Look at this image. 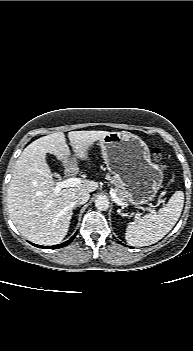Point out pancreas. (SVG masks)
<instances>
[{"instance_id": "obj_1", "label": "pancreas", "mask_w": 193, "mask_h": 351, "mask_svg": "<svg viewBox=\"0 0 193 351\" xmlns=\"http://www.w3.org/2000/svg\"><path fill=\"white\" fill-rule=\"evenodd\" d=\"M107 178L111 180V183L115 186V193L117 194L118 198L124 203V205H128L129 195L124 187L122 180L117 176H113L112 178L107 176Z\"/></svg>"}]
</instances>
